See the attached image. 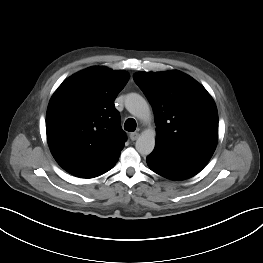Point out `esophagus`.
<instances>
[{
  "instance_id": "1",
  "label": "esophagus",
  "mask_w": 263,
  "mask_h": 263,
  "mask_svg": "<svg viewBox=\"0 0 263 263\" xmlns=\"http://www.w3.org/2000/svg\"><path fill=\"white\" fill-rule=\"evenodd\" d=\"M138 137H139V133H137V132H133V133L130 134V139H131L132 141L137 140Z\"/></svg>"
}]
</instances>
